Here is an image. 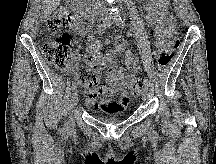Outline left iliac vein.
<instances>
[{"label":"left iliac vein","mask_w":216,"mask_h":164,"mask_svg":"<svg viewBox=\"0 0 216 164\" xmlns=\"http://www.w3.org/2000/svg\"><path fill=\"white\" fill-rule=\"evenodd\" d=\"M148 92H149L148 86L145 85L144 90L142 92V99H143V101L147 100V98H148Z\"/></svg>","instance_id":"obj_1"}]
</instances>
